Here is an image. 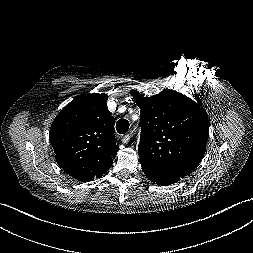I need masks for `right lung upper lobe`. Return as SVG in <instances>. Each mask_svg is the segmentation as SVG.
<instances>
[{"label": "right lung upper lobe", "mask_w": 253, "mask_h": 253, "mask_svg": "<svg viewBox=\"0 0 253 253\" xmlns=\"http://www.w3.org/2000/svg\"><path fill=\"white\" fill-rule=\"evenodd\" d=\"M107 100L106 94L81 95L65 106L51 125L56 161L78 181L102 176L119 151Z\"/></svg>", "instance_id": "cb5924a9"}]
</instances>
